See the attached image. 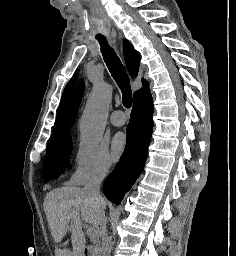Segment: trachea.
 I'll list each match as a JSON object with an SVG mask.
<instances>
[{
  "label": "trachea",
  "instance_id": "1",
  "mask_svg": "<svg viewBox=\"0 0 236 256\" xmlns=\"http://www.w3.org/2000/svg\"><path fill=\"white\" fill-rule=\"evenodd\" d=\"M98 41L101 45L104 61L122 92L123 105L125 108H130L132 106V91L125 68L113 48L109 46L106 38H99Z\"/></svg>",
  "mask_w": 236,
  "mask_h": 256
}]
</instances>
